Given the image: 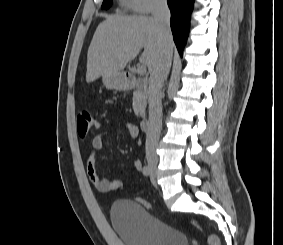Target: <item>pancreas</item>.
Segmentation results:
<instances>
[{"instance_id":"1","label":"pancreas","mask_w":283,"mask_h":245,"mask_svg":"<svg viewBox=\"0 0 283 245\" xmlns=\"http://www.w3.org/2000/svg\"><path fill=\"white\" fill-rule=\"evenodd\" d=\"M147 103V89L146 85H141L134 92L133 95V110L137 116H142L145 112Z\"/></svg>"}]
</instances>
